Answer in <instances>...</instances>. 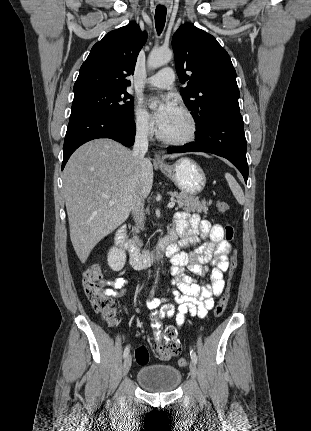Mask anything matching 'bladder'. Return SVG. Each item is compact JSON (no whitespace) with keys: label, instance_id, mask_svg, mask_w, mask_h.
<instances>
[{"label":"bladder","instance_id":"obj_1","mask_svg":"<svg viewBox=\"0 0 311 431\" xmlns=\"http://www.w3.org/2000/svg\"><path fill=\"white\" fill-rule=\"evenodd\" d=\"M138 384L152 393L175 391L182 381V372L170 364H149L142 366L136 374Z\"/></svg>","mask_w":311,"mask_h":431}]
</instances>
